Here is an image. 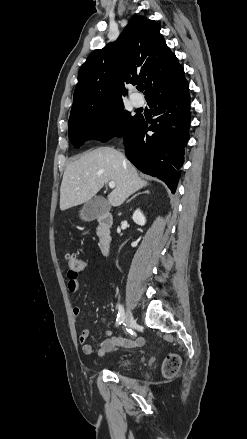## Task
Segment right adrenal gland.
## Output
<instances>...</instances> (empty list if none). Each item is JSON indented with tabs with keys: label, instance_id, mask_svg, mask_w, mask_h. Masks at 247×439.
<instances>
[{
	"label": "right adrenal gland",
	"instance_id": "obj_1",
	"mask_svg": "<svg viewBox=\"0 0 247 439\" xmlns=\"http://www.w3.org/2000/svg\"><path fill=\"white\" fill-rule=\"evenodd\" d=\"M150 193V191H148V190H144L143 192H140V193H138V194H135L133 197H131L128 201H127V203L128 202H130L131 200H133L134 198H136L138 195H140V194H149Z\"/></svg>",
	"mask_w": 247,
	"mask_h": 439
}]
</instances>
